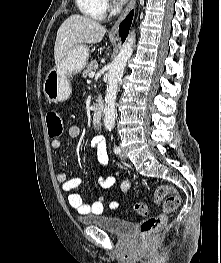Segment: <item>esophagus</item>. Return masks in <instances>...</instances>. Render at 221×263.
Instances as JSON below:
<instances>
[{
	"label": "esophagus",
	"mask_w": 221,
	"mask_h": 263,
	"mask_svg": "<svg viewBox=\"0 0 221 263\" xmlns=\"http://www.w3.org/2000/svg\"><path fill=\"white\" fill-rule=\"evenodd\" d=\"M136 0H130L121 15L119 16L118 20L115 22L114 26L110 31V35L116 36L118 33V26L121 21L127 16V14L131 11V9L135 6Z\"/></svg>",
	"instance_id": "1"
}]
</instances>
